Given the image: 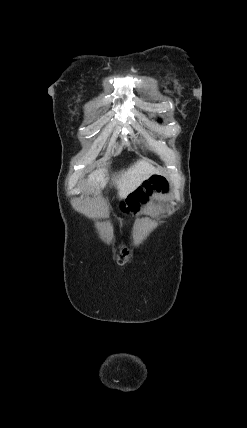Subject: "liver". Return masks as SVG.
<instances>
[{"label":"liver","instance_id":"6515ba94","mask_svg":"<svg viewBox=\"0 0 247 428\" xmlns=\"http://www.w3.org/2000/svg\"><path fill=\"white\" fill-rule=\"evenodd\" d=\"M158 173L156 168L146 161L139 160L127 170L121 171L112 178L113 184L118 189L120 198H125L127 195L137 189L144 180L151 175ZM109 181L106 169H99L92 172L88 177L89 186L92 188H104Z\"/></svg>","mask_w":247,"mask_h":428}]
</instances>
